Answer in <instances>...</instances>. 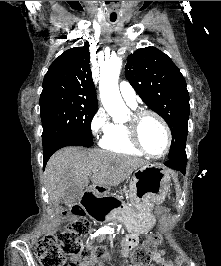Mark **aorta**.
Wrapping results in <instances>:
<instances>
[{
    "label": "aorta",
    "instance_id": "obj_1",
    "mask_svg": "<svg viewBox=\"0 0 221 266\" xmlns=\"http://www.w3.org/2000/svg\"><path fill=\"white\" fill-rule=\"evenodd\" d=\"M122 66V58L111 56L101 66L100 97L105 110L118 121L126 116L127 109L119 92L118 78Z\"/></svg>",
    "mask_w": 221,
    "mask_h": 266
}]
</instances>
